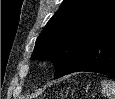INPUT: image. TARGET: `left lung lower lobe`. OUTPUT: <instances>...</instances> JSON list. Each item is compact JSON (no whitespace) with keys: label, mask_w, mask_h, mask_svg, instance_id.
<instances>
[{"label":"left lung lower lobe","mask_w":115,"mask_h":99,"mask_svg":"<svg viewBox=\"0 0 115 99\" xmlns=\"http://www.w3.org/2000/svg\"><path fill=\"white\" fill-rule=\"evenodd\" d=\"M79 71L97 72L115 79V26L95 41L64 75Z\"/></svg>","instance_id":"left-lung-lower-lobe-1"}]
</instances>
